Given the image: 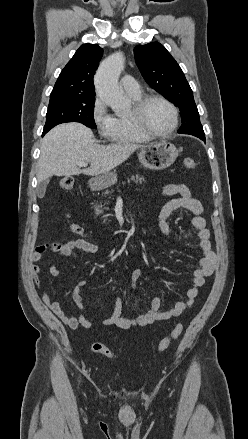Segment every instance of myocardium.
<instances>
[{"label": "myocardium", "mask_w": 248, "mask_h": 439, "mask_svg": "<svg viewBox=\"0 0 248 439\" xmlns=\"http://www.w3.org/2000/svg\"><path fill=\"white\" fill-rule=\"evenodd\" d=\"M159 100L164 102L172 111L173 115V124L172 127L165 133H156L152 131L146 124L145 120V110L147 105L153 101ZM132 117L137 126V128L143 132L145 135L151 138H167L170 137L178 127L179 115L176 106L166 97L157 95V94H149L141 97L135 102V105L132 109Z\"/></svg>", "instance_id": "myocardium-1"}]
</instances>
